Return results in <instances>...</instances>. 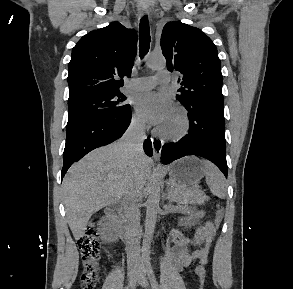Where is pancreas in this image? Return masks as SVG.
Returning <instances> with one entry per match:
<instances>
[{
    "instance_id": "obj_1",
    "label": "pancreas",
    "mask_w": 293,
    "mask_h": 289,
    "mask_svg": "<svg viewBox=\"0 0 293 289\" xmlns=\"http://www.w3.org/2000/svg\"><path fill=\"white\" fill-rule=\"evenodd\" d=\"M170 202L189 203V204H203L209 198L205 193L196 187H186L180 184H171L168 189V196Z\"/></svg>"
}]
</instances>
